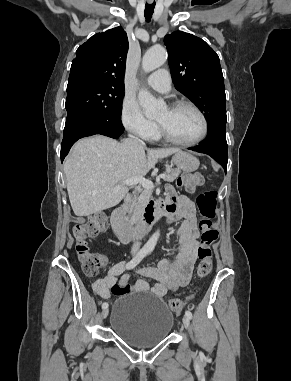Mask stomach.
<instances>
[{"label": "stomach", "mask_w": 291, "mask_h": 381, "mask_svg": "<svg viewBox=\"0 0 291 381\" xmlns=\"http://www.w3.org/2000/svg\"><path fill=\"white\" fill-rule=\"evenodd\" d=\"M172 162L178 169L185 172H194L199 167V160L191 153L180 151L172 157Z\"/></svg>", "instance_id": "stomach-1"}]
</instances>
